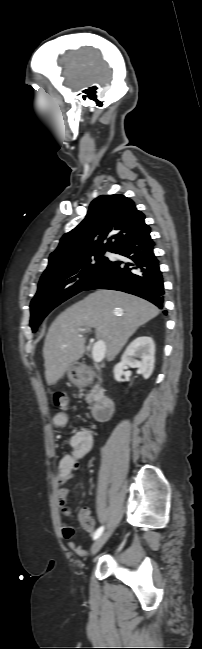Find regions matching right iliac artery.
<instances>
[{
    "label": "right iliac artery",
    "instance_id": "right-iliac-artery-1",
    "mask_svg": "<svg viewBox=\"0 0 202 649\" xmlns=\"http://www.w3.org/2000/svg\"><path fill=\"white\" fill-rule=\"evenodd\" d=\"M103 531H104V527L103 526L99 527L96 530V532H95V534L93 536V539L96 540L97 538H99L102 535Z\"/></svg>",
    "mask_w": 202,
    "mask_h": 649
}]
</instances>
